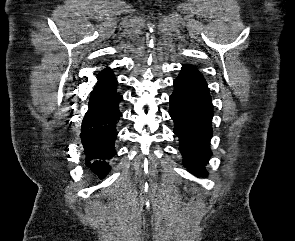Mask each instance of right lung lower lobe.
<instances>
[{"label": "right lung lower lobe", "instance_id": "obj_1", "mask_svg": "<svg viewBox=\"0 0 295 241\" xmlns=\"http://www.w3.org/2000/svg\"><path fill=\"white\" fill-rule=\"evenodd\" d=\"M117 81L95 86L91 92L82 127L81 140L85 152V165L100 179L110 171L108 161L116 155V125L121 112L122 96L117 92Z\"/></svg>", "mask_w": 295, "mask_h": 241}]
</instances>
